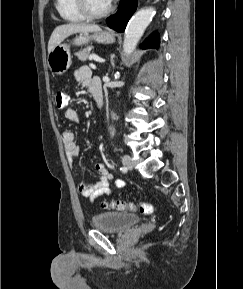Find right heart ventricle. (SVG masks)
I'll list each match as a JSON object with an SVG mask.
<instances>
[{"instance_id": "1", "label": "right heart ventricle", "mask_w": 243, "mask_h": 289, "mask_svg": "<svg viewBox=\"0 0 243 289\" xmlns=\"http://www.w3.org/2000/svg\"><path fill=\"white\" fill-rule=\"evenodd\" d=\"M56 10L60 17L69 22H82L86 18L80 13L75 0H56Z\"/></svg>"}]
</instances>
